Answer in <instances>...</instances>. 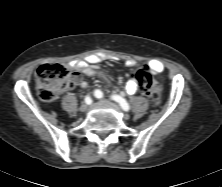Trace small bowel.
Listing matches in <instances>:
<instances>
[{"label": "small bowel", "instance_id": "1", "mask_svg": "<svg viewBox=\"0 0 222 187\" xmlns=\"http://www.w3.org/2000/svg\"><path fill=\"white\" fill-rule=\"evenodd\" d=\"M106 58L107 57L103 54H93V55H89L84 60L73 61L71 63V66L74 69H76L86 75L100 76L101 78H104V76L97 71L96 66L98 63L105 60ZM134 65H135L134 61L130 60V61L126 62V66L128 68H132V67H134ZM146 67H147V70L151 71L154 74H159L164 70L163 64L158 60L150 61ZM75 82L82 89H85L87 87L86 83L79 80L78 78H76ZM138 87H139V84H138L137 78H136V76H133L126 83V87H125L126 93L129 95H133L137 92Z\"/></svg>", "mask_w": 222, "mask_h": 187}]
</instances>
